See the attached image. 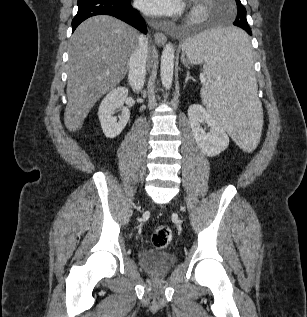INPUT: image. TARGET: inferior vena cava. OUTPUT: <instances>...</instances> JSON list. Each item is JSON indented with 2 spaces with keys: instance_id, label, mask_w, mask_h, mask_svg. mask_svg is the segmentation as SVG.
<instances>
[{
  "instance_id": "1",
  "label": "inferior vena cava",
  "mask_w": 307,
  "mask_h": 317,
  "mask_svg": "<svg viewBox=\"0 0 307 317\" xmlns=\"http://www.w3.org/2000/svg\"><path fill=\"white\" fill-rule=\"evenodd\" d=\"M148 41L140 35L138 47L129 60L128 80L134 92L140 91L145 83Z\"/></svg>"
}]
</instances>
